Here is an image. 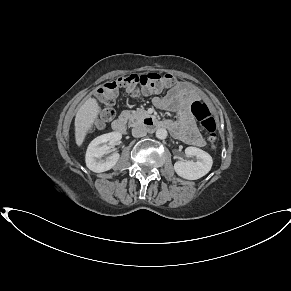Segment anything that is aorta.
Wrapping results in <instances>:
<instances>
[{
  "label": "aorta",
  "instance_id": "762f6f07",
  "mask_svg": "<svg viewBox=\"0 0 291 291\" xmlns=\"http://www.w3.org/2000/svg\"><path fill=\"white\" fill-rule=\"evenodd\" d=\"M167 135H168L167 130L164 128H159L156 131V137L158 139H165L167 137Z\"/></svg>",
  "mask_w": 291,
  "mask_h": 291
}]
</instances>
